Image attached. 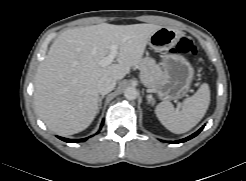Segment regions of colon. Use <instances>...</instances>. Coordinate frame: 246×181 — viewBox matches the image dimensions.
I'll return each mask as SVG.
<instances>
[{
  "label": "colon",
  "mask_w": 246,
  "mask_h": 181,
  "mask_svg": "<svg viewBox=\"0 0 246 181\" xmlns=\"http://www.w3.org/2000/svg\"><path fill=\"white\" fill-rule=\"evenodd\" d=\"M175 53L179 54H192L195 55L197 53V49L189 38H181L180 41L178 42L177 46L173 50Z\"/></svg>",
  "instance_id": "5ec220e1"
}]
</instances>
